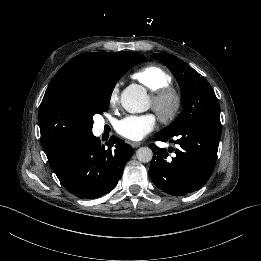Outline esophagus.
Segmentation results:
<instances>
[{"label":"esophagus","instance_id":"esophagus-1","mask_svg":"<svg viewBox=\"0 0 261 261\" xmlns=\"http://www.w3.org/2000/svg\"><path fill=\"white\" fill-rule=\"evenodd\" d=\"M131 145H132L133 148H137L141 145V142L135 141V142H132Z\"/></svg>","mask_w":261,"mask_h":261}]
</instances>
